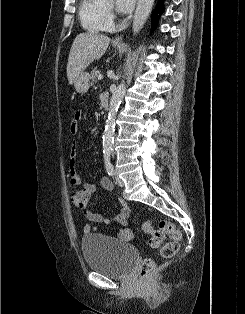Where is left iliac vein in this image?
Listing matches in <instances>:
<instances>
[{"label": "left iliac vein", "instance_id": "4c4485c4", "mask_svg": "<svg viewBox=\"0 0 245 314\" xmlns=\"http://www.w3.org/2000/svg\"><path fill=\"white\" fill-rule=\"evenodd\" d=\"M115 182L118 186L120 187H123L124 186V182L123 180L118 176V175H115Z\"/></svg>", "mask_w": 245, "mask_h": 314}]
</instances>
